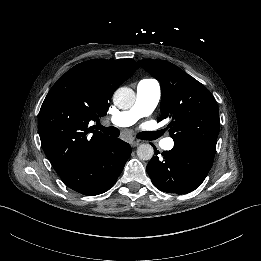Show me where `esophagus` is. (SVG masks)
Here are the masks:
<instances>
[{"label":"esophagus","instance_id":"obj_1","mask_svg":"<svg viewBox=\"0 0 261 261\" xmlns=\"http://www.w3.org/2000/svg\"><path fill=\"white\" fill-rule=\"evenodd\" d=\"M139 144H140V141H139V140H132V141L130 142V145H131L132 147H137Z\"/></svg>","mask_w":261,"mask_h":261}]
</instances>
